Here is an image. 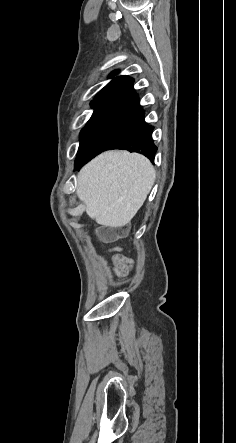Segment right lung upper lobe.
Wrapping results in <instances>:
<instances>
[{
	"instance_id": "obj_1",
	"label": "right lung upper lobe",
	"mask_w": 236,
	"mask_h": 443,
	"mask_svg": "<svg viewBox=\"0 0 236 443\" xmlns=\"http://www.w3.org/2000/svg\"><path fill=\"white\" fill-rule=\"evenodd\" d=\"M117 71L112 72V76ZM134 79L128 76H118L114 78L107 86H105L96 96L92 102L106 101L108 98L121 93L133 87Z\"/></svg>"
}]
</instances>
